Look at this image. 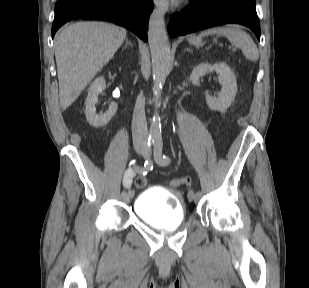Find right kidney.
<instances>
[{
  "label": "right kidney",
  "mask_w": 309,
  "mask_h": 288,
  "mask_svg": "<svg viewBox=\"0 0 309 288\" xmlns=\"http://www.w3.org/2000/svg\"><path fill=\"white\" fill-rule=\"evenodd\" d=\"M105 88L106 82L104 77H98L89 87L88 96L86 99L85 115L89 124L94 127L105 126L117 112V104L112 102L108 111H106L103 115L96 114L95 104L98 101V95L102 93Z\"/></svg>",
  "instance_id": "right-kidney-1"
}]
</instances>
